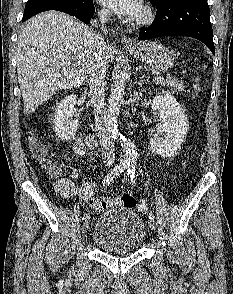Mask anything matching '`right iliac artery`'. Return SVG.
I'll return each instance as SVG.
<instances>
[{"instance_id": "right-iliac-artery-1", "label": "right iliac artery", "mask_w": 233, "mask_h": 294, "mask_svg": "<svg viewBox=\"0 0 233 294\" xmlns=\"http://www.w3.org/2000/svg\"><path fill=\"white\" fill-rule=\"evenodd\" d=\"M128 167V163L120 162L116 165L103 179V185L110 184L121 172H123ZM84 220L89 219V215L85 214L83 217Z\"/></svg>"}]
</instances>
